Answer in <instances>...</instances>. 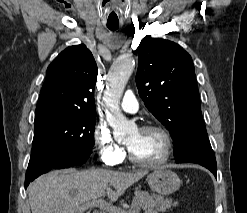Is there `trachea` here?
I'll return each instance as SVG.
<instances>
[{"mask_svg": "<svg viewBox=\"0 0 247 213\" xmlns=\"http://www.w3.org/2000/svg\"><path fill=\"white\" fill-rule=\"evenodd\" d=\"M107 27L111 30V31H115L118 29L119 25H107Z\"/></svg>", "mask_w": 247, "mask_h": 213, "instance_id": "obj_1", "label": "trachea"}]
</instances>
